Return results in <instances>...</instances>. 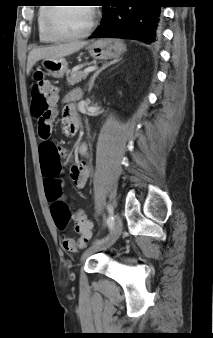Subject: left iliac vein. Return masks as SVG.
<instances>
[{"label": "left iliac vein", "mask_w": 213, "mask_h": 338, "mask_svg": "<svg viewBox=\"0 0 213 338\" xmlns=\"http://www.w3.org/2000/svg\"><path fill=\"white\" fill-rule=\"evenodd\" d=\"M122 228H123L122 218L120 215H117L115 218L114 228L112 232L110 233V235L105 240L99 243L93 244L92 246L87 248L84 251L81 260L83 261L89 256H91L92 254L100 250L107 249L111 247L113 244H115V242L119 239L121 235Z\"/></svg>", "instance_id": "1"}]
</instances>
